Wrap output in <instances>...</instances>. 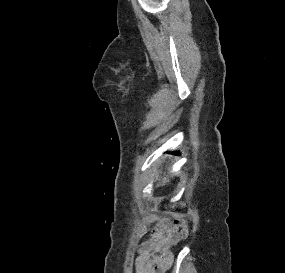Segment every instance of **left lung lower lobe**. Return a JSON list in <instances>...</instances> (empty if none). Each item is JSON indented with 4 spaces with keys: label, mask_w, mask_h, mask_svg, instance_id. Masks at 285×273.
Segmentation results:
<instances>
[{
    "label": "left lung lower lobe",
    "mask_w": 285,
    "mask_h": 273,
    "mask_svg": "<svg viewBox=\"0 0 285 273\" xmlns=\"http://www.w3.org/2000/svg\"><path fill=\"white\" fill-rule=\"evenodd\" d=\"M174 154H178V152H174Z\"/></svg>",
    "instance_id": "obj_1"
}]
</instances>
